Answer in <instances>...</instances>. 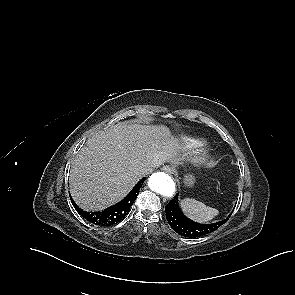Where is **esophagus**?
<instances>
[{"mask_svg": "<svg viewBox=\"0 0 295 295\" xmlns=\"http://www.w3.org/2000/svg\"><path fill=\"white\" fill-rule=\"evenodd\" d=\"M162 170L168 174H173L174 173V169L169 166V165H165L162 167Z\"/></svg>", "mask_w": 295, "mask_h": 295, "instance_id": "34e87169", "label": "esophagus"}]
</instances>
